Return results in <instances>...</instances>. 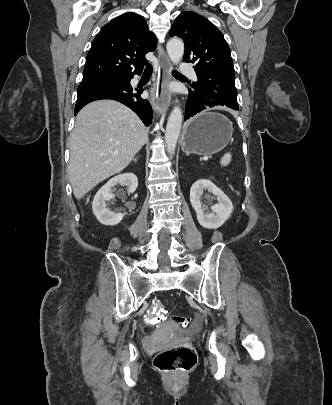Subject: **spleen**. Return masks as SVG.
Wrapping results in <instances>:
<instances>
[{"mask_svg":"<svg viewBox=\"0 0 332 405\" xmlns=\"http://www.w3.org/2000/svg\"><path fill=\"white\" fill-rule=\"evenodd\" d=\"M231 154L227 153L225 154L222 159H221V165L226 166L231 162Z\"/></svg>","mask_w":332,"mask_h":405,"instance_id":"spleen-1","label":"spleen"}]
</instances>
